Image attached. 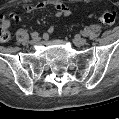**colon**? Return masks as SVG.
Wrapping results in <instances>:
<instances>
[{
  "label": "colon",
  "mask_w": 119,
  "mask_h": 119,
  "mask_svg": "<svg viewBox=\"0 0 119 119\" xmlns=\"http://www.w3.org/2000/svg\"><path fill=\"white\" fill-rule=\"evenodd\" d=\"M116 12L107 11L100 16V21L105 26H112L116 21ZM10 39V34L7 29L1 27L0 30V41L7 42Z\"/></svg>",
  "instance_id": "obj_1"
}]
</instances>
